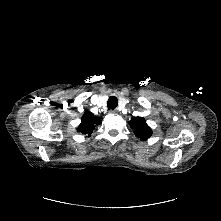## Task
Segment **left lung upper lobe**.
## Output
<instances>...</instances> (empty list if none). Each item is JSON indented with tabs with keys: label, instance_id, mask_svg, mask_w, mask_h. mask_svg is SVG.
I'll use <instances>...</instances> for the list:
<instances>
[{
	"label": "left lung upper lobe",
	"instance_id": "left-lung-upper-lobe-1",
	"mask_svg": "<svg viewBox=\"0 0 221 221\" xmlns=\"http://www.w3.org/2000/svg\"><path fill=\"white\" fill-rule=\"evenodd\" d=\"M130 127L134 130L135 136L145 141L152 135L151 128L142 117H135L129 121Z\"/></svg>",
	"mask_w": 221,
	"mask_h": 221
}]
</instances>
